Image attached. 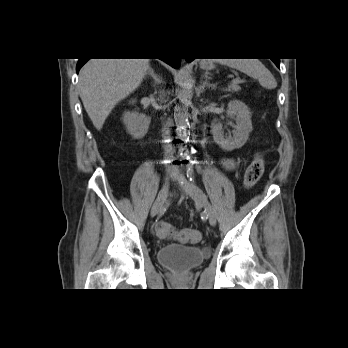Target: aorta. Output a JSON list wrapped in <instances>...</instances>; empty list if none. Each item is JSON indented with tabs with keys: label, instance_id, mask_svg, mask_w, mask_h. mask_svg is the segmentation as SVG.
Instances as JSON below:
<instances>
[{
	"label": "aorta",
	"instance_id": "1",
	"mask_svg": "<svg viewBox=\"0 0 348 348\" xmlns=\"http://www.w3.org/2000/svg\"><path fill=\"white\" fill-rule=\"evenodd\" d=\"M180 90L178 92L179 104L174 109V119L176 124V134L178 138L185 141L189 136V114L188 107L193 97V80L189 74H184L179 82ZM180 151L185 148L180 146Z\"/></svg>",
	"mask_w": 348,
	"mask_h": 348
}]
</instances>
